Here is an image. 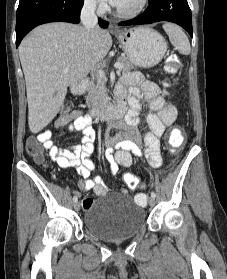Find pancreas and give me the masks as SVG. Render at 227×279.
<instances>
[{"label":"pancreas","mask_w":227,"mask_h":279,"mask_svg":"<svg viewBox=\"0 0 227 279\" xmlns=\"http://www.w3.org/2000/svg\"><path fill=\"white\" fill-rule=\"evenodd\" d=\"M117 63L122 65V71L128 72L135 68V66L126 58L120 57ZM106 81L102 78H98L96 81H92L87 89L86 103L89 107L97 109L105 102L106 99Z\"/></svg>","instance_id":"pancreas-1"}]
</instances>
